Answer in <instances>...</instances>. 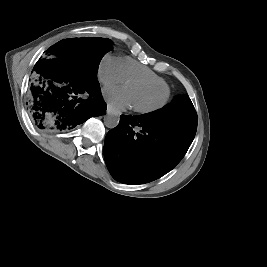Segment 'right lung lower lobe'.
I'll list each match as a JSON object with an SVG mask.
<instances>
[{
  "mask_svg": "<svg viewBox=\"0 0 267 267\" xmlns=\"http://www.w3.org/2000/svg\"><path fill=\"white\" fill-rule=\"evenodd\" d=\"M34 76L27 104L40 129L67 131L106 111L99 82L82 78L63 59L38 61ZM81 94L89 97L82 99Z\"/></svg>",
  "mask_w": 267,
  "mask_h": 267,
  "instance_id": "1",
  "label": "right lung lower lobe"
}]
</instances>
